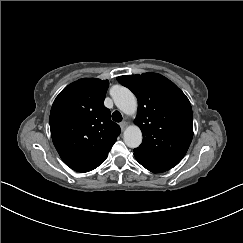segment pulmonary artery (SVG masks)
<instances>
[{
    "label": "pulmonary artery",
    "mask_w": 243,
    "mask_h": 243,
    "mask_svg": "<svg viewBox=\"0 0 243 243\" xmlns=\"http://www.w3.org/2000/svg\"><path fill=\"white\" fill-rule=\"evenodd\" d=\"M117 105H118V107H120V108H123L124 107V105H123V103L122 102H117Z\"/></svg>",
    "instance_id": "obj_1"
}]
</instances>
